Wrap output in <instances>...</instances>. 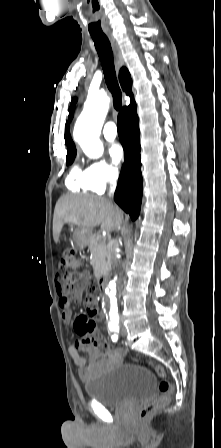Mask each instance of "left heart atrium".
<instances>
[{"label":"left heart atrium","mask_w":221,"mask_h":448,"mask_svg":"<svg viewBox=\"0 0 221 448\" xmlns=\"http://www.w3.org/2000/svg\"><path fill=\"white\" fill-rule=\"evenodd\" d=\"M108 153L114 164H120L124 158V149L118 143L112 144L109 147Z\"/></svg>","instance_id":"1"}]
</instances>
